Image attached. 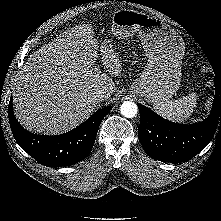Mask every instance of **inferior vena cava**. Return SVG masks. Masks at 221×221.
Returning <instances> with one entry per match:
<instances>
[{
    "label": "inferior vena cava",
    "mask_w": 221,
    "mask_h": 221,
    "mask_svg": "<svg viewBox=\"0 0 221 221\" xmlns=\"http://www.w3.org/2000/svg\"><path fill=\"white\" fill-rule=\"evenodd\" d=\"M106 98H107V94L103 90H99L92 94V99L97 103L103 101Z\"/></svg>",
    "instance_id": "1"
}]
</instances>
